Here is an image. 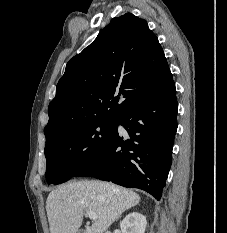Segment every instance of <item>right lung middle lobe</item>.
<instances>
[{
  "label": "right lung middle lobe",
  "instance_id": "1",
  "mask_svg": "<svg viewBox=\"0 0 227 233\" xmlns=\"http://www.w3.org/2000/svg\"><path fill=\"white\" fill-rule=\"evenodd\" d=\"M116 126L117 119L94 120L46 142L48 184H60L72 178L100 152Z\"/></svg>",
  "mask_w": 227,
  "mask_h": 233
}]
</instances>
